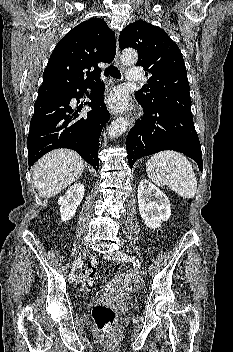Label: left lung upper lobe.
Masks as SVG:
<instances>
[{"label":"left lung upper lobe","mask_w":233,"mask_h":352,"mask_svg":"<svg viewBox=\"0 0 233 352\" xmlns=\"http://www.w3.org/2000/svg\"><path fill=\"white\" fill-rule=\"evenodd\" d=\"M121 49L138 51L136 66L150 75L144 89L135 93L141 105H163L192 115L189 82L179 47L161 28L145 21H136L123 29L119 37Z\"/></svg>","instance_id":"1"}]
</instances>
